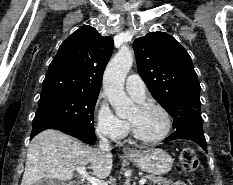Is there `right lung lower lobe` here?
I'll return each instance as SVG.
<instances>
[{
	"label": "right lung lower lobe",
	"mask_w": 233,
	"mask_h": 185,
	"mask_svg": "<svg viewBox=\"0 0 233 185\" xmlns=\"http://www.w3.org/2000/svg\"><path fill=\"white\" fill-rule=\"evenodd\" d=\"M62 132L67 133L75 138H78L79 140L88 143L93 144L96 141V136L94 132H87L83 130H76V129H66Z\"/></svg>",
	"instance_id": "1"
}]
</instances>
